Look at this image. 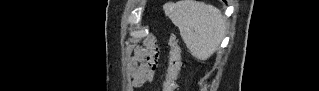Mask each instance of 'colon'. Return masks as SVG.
<instances>
[{
	"instance_id": "obj_1",
	"label": "colon",
	"mask_w": 319,
	"mask_h": 91,
	"mask_svg": "<svg viewBox=\"0 0 319 91\" xmlns=\"http://www.w3.org/2000/svg\"><path fill=\"white\" fill-rule=\"evenodd\" d=\"M170 58L166 78L163 84L164 91H175L177 89V77L182 67L181 46L177 37L172 34L169 38ZM158 50L150 43L149 48L139 59L140 66L144 70H150L157 66Z\"/></svg>"
}]
</instances>
